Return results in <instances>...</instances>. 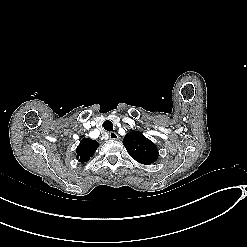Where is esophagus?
Here are the masks:
<instances>
[{"label":"esophagus","mask_w":247,"mask_h":247,"mask_svg":"<svg viewBox=\"0 0 247 247\" xmlns=\"http://www.w3.org/2000/svg\"><path fill=\"white\" fill-rule=\"evenodd\" d=\"M109 138L112 139V140H118V139H120V137L118 136V134L115 133V132H110L109 133Z\"/></svg>","instance_id":"34e87169"}]
</instances>
